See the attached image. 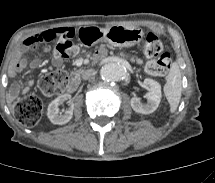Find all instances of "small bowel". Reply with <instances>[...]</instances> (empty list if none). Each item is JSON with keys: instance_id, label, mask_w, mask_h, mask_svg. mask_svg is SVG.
<instances>
[{"instance_id": "1", "label": "small bowel", "mask_w": 215, "mask_h": 183, "mask_svg": "<svg viewBox=\"0 0 215 183\" xmlns=\"http://www.w3.org/2000/svg\"><path fill=\"white\" fill-rule=\"evenodd\" d=\"M71 31L70 28H53V29H47L44 31H41L39 33H36L32 36H30L26 42H25V46L26 49L31 51V49L33 48V45L36 41L40 42V46L44 43L50 42L52 41L58 34L60 33H64V32H68ZM61 61L58 58H55L53 60V64L55 66L60 65ZM32 65L34 67H40L42 65V62L38 59L34 60L32 62ZM27 67V61L26 59L23 57V55L21 53H19L16 58L14 63L9 67L8 73L10 76H15L19 73H21L25 68ZM31 82H29L28 86L24 87L22 89V92H26L29 89V86H31ZM20 87L19 86H14L10 92V98L13 99L15 98L19 92H20Z\"/></svg>"}]
</instances>
